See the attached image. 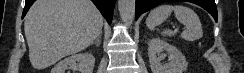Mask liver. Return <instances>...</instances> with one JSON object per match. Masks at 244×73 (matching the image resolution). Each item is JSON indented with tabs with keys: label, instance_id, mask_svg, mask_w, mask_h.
Masks as SVG:
<instances>
[{
	"label": "liver",
	"instance_id": "obj_1",
	"mask_svg": "<svg viewBox=\"0 0 244 73\" xmlns=\"http://www.w3.org/2000/svg\"><path fill=\"white\" fill-rule=\"evenodd\" d=\"M103 17L90 0H37L24 32L35 69L86 49L101 34Z\"/></svg>",
	"mask_w": 244,
	"mask_h": 73
}]
</instances>
